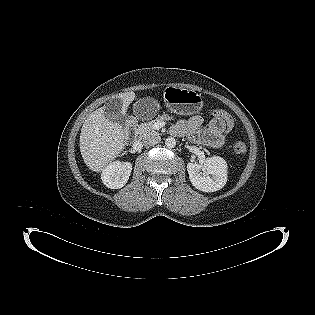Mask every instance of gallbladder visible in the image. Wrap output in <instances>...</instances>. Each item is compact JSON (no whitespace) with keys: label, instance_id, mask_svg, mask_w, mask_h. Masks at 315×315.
Here are the masks:
<instances>
[{"label":"gallbladder","instance_id":"gallbladder-1","mask_svg":"<svg viewBox=\"0 0 315 315\" xmlns=\"http://www.w3.org/2000/svg\"><path fill=\"white\" fill-rule=\"evenodd\" d=\"M122 101L115 98L108 101L104 106V115L105 117L113 122L122 121Z\"/></svg>","mask_w":315,"mask_h":315}]
</instances>
